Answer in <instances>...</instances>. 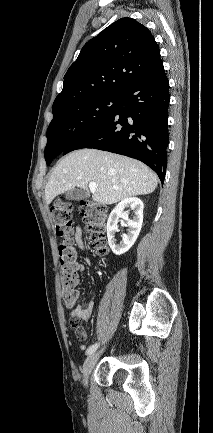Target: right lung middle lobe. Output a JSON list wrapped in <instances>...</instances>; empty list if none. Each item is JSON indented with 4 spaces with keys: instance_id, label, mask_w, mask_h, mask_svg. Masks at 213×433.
I'll list each match as a JSON object with an SVG mask.
<instances>
[{
    "instance_id": "1",
    "label": "right lung middle lobe",
    "mask_w": 213,
    "mask_h": 433,
    "mask_svg": "<svg viewBox=\"0 0 213 433\" xmlns=\"http://www.w3.org/2000/svg\"><path fill=\"white\" fill-rule=\"evenodd\" d=\"M120 98L121 95H98L53 112L54 117L47 129V165L73 143L103 124L116 110Z\"/></svg>"
}]
</instances>
